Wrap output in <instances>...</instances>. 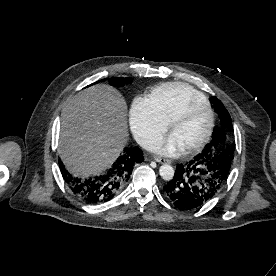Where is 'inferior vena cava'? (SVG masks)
I'll return each instance as SVG.
<instances>
[{"instance_id":"602c4592","label":"inferior vena cava","mask_w":276,"mask_h":276,"mask_svg":"<svg viewBox=\"0 0 276 276\" xmlns=\"http://www.w3.org/2000/svg\"><path fill=\"white\" fill-rule=\"evenodd\" d=\"M141 146L149 151H155L161 148L162 143L158 138H146L140 142Z\"/></svg>"}]
</instances>
